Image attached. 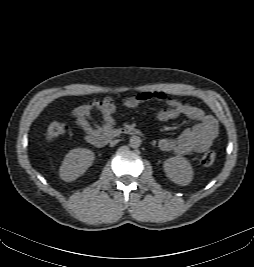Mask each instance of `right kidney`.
I'll use <instances>...</instances> for the list:
<instances>
[{"instance_id": "1", "label": "right kidney", "mask_w": 254, "mask_h": 267, "mask_svg": "<svg viewBox=\"0 0 254 267\" xmlns=\"http://www.w3.org/2000/svg\"><path fill=\"white\" fill-rule=\"evenodd\" d=\"M94 153L86 148H76L66 154L59 169L62 180L70 182L83 175L94 161Z\"/></svg>"}]
</instances>
